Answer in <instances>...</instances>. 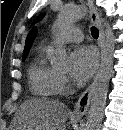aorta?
<instances>
[{"mask_svg":"<svg viewBox=\"0 0 123 130\" xmlns=\"http://www.w3.org/2000/svg\"><path fill=\"white\" fill-rule=\"evenodd\" d=\"M87 9L84 6H65L57 16L54 24L55 29L59 32L70 27L75 21L86 16ZM105 44L101 58V65L96 74L92 91L90 108L88 111L85 130H100L104 116V109L108 94L109 82L113 74V52L115 49V36L109 22H104ZM67 52L64 46L58 45L55 49L51 63L56 67L65 65Z\"/></svg>","mask_w":123,"mask_h":130,"instance_id":"obj_1","label":"aorta"}]
</instances>
